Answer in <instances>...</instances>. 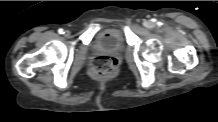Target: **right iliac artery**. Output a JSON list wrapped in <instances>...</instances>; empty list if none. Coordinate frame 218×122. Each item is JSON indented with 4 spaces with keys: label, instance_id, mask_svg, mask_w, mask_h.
<instances>
[{
    "label": "right iliac artery",
    "instance_id": "obj_1",
    "mask_svg": "<svg viewBox=\"0 0 218 122\" xmlns=\"http://www.w3.org/2000/svg\"><path fill=\"white\" fill-rule=\"evenodd\" d=\"M58 33H59V34H64V30H63L62 28H60V29L58 30Z\"/></svg>",
    "mask_w": 218,
    "mask_h": 122
}]
</instances>
